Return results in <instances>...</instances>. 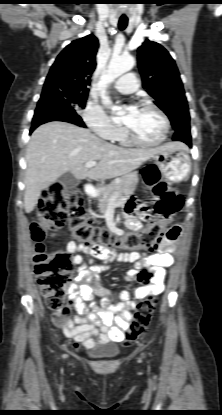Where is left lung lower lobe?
I'll list each match as a JSON object with an SVG mask.
<instances>
[{"instance_id": "1", "label": "left lung lower lobe", "mask_w": 222, "mask_h": 415, "mask_svg": "<svg viewBox=\"0 0 222 415\" xmlns=\"http://www.w3.org/2000/svg\"><path fill=\"white\" fill-rule=\"evenodd\" d=\"M173 140L182 141L186 143L189 147H192L190 128H183V129L176 130L175 134L173 135Z\"/></svg>"}]
</instances>
